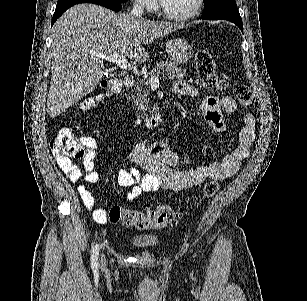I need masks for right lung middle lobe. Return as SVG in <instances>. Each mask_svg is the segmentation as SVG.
<instances>
[{"mask_svg":"<svg viewBox=\"0 0 307 301\" xmlns=\"http://www.w3.org/2000/svg\"><path fill=\"white\" fill-rule=\"evenodd\" d=\"M71 1H74V0H58L57 5L67 3V2H71ZM119 1L122 2V3L127 2V0H119Z\"/></svg>","mask_w":307,"mask_h":301,"instance_id":"dd1d6c3e","label":"right lung middle lobe"}]
</instances>
